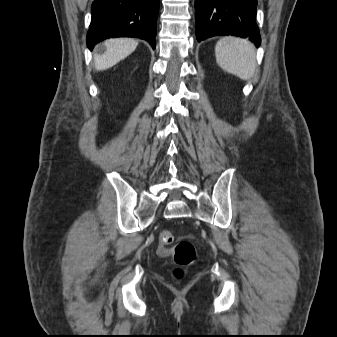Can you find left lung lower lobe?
Returning <instances> with one entry per match:
<instances>
[{
    "instance_id": "1",
    "label": "left lung lower lobe",
    "mask_w": 337,
    "mask_h": 337,
    "mask_svg": "<svg viewBox=\"0 0 337 337\" xmlns=\"http://www.w3.org/2000/svg\"><path fill=\"white\" fill-rule=\"evenodd\" d=\"M256 5L257 0H195L197 40L233 35L260 46Z\"/></svg>"
}]
</instances>
